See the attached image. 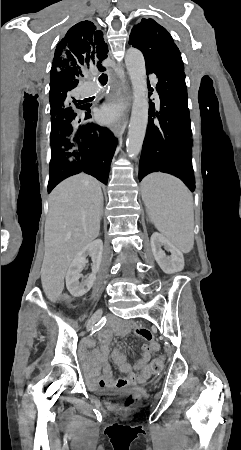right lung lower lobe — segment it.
Returning a JSON list of instances; mask_svg holds the SVG:
<instances>
[{
    "label": "right lung lower lobe",
    "mask_w": 241,
    "mask_h": 450,
    "mask_svg": "<svg viewBox=\"0 0 241 450\" xmlns=\"http://www.w3.org/2000/svg\"><path fill=\"white\" fill-rule=\"evenodd\" d=\"M89 112L90 109L76 120H62L57 125L61 132L72 136L74 144L71 148L52 149L48 192L65 178L80 172L107 184L117 139L109 129L93 123L78 126L77 123L90 118Z\"/></svg>",
    "instance_id": "98d812e1"
}]
</instances>
